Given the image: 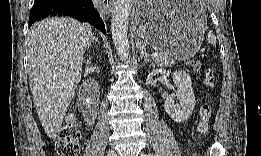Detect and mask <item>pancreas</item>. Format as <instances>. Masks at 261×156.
Returning a JSON list of instances; mask_svg holds the SVG:
<instances>
[{"instance_id": "cf45deb5", "label": "pancreas", "mask_w": 261, "mask_h": 156, "mask_svg": "<svg viewBox=\"0 0 261 156\" xmlns=\"http://www.w3.org/2000/svg\"><path fill=\"white\" fill-rule=\"evenodd\" d=\"M159 53V57L157 59H155V62L159 65V66H170L174 63L175 61V57L174 55L170 54V53H166L163 51H158Z\"/></svg>"}]
</instances>
